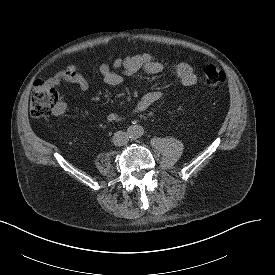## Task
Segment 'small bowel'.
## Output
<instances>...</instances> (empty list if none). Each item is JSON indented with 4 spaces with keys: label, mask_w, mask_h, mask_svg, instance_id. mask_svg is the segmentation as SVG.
Returning <instances> with one entry per match:
<instances>
[{
    "label": "small bowel",
    "mask_w": 275,
    "mask_h": 275,
    "mask_svg": "<svg viewBox=\"0 0 275 275\" xmlns=\"http://www.w3.org/2000/svg\"><path fill=\"white\" fill-rule=\"evenodd\" d=\"M164 67L162 63L156 60L154 55L150 53L137 54L125 58H118L113 65L103 63L99 68V73L103 81L109 86L120 85L125 76H133L141 71L157 75L162 73ZM172 73L180 80L182 85L186 87L194 86L197 83V75L194 68L187 63H179L172 68ZM49 83L58 86L63 83H72L78 86L80 91L86 92L89 89L87 79L81 75L75 65H69L65 69L56 73L49 79ZM163 94L159 90H153L144 94L136 103L133 112L142 113L148 110L152 105L159 102ZM63 103L54 110L55 115L64 112ZM121 117L118 114L111 113L107 116V120L111 123L118 122Z\"/></svg>",
    "instance_id": "obj_1"
}]
</instances>
